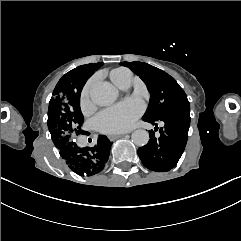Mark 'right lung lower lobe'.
Here are the masks:
<instances>
[{
	"mask_svg": "<svg viewBox=\"0 0 241 241\" xmlns=\"http://www.w3.org/2000/svg\"><path fill=\"white\" fill-rule=\"evenodd\" d=\"M112 142L100 135L93 147L80 148L77 144L59 148L60 156L71 170L80 176H92L101 172L110 155Z\"/></svg>",
	"mask_w": 241,
	"mask_h": 241,
	"instance_id": "98d812e1",
	"label": "right lung lower lobe"
}]
</instances>
